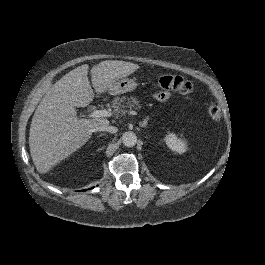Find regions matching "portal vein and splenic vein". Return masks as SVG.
Returning <instances> with one entry per match:
<instances>
[{
  "mask_svg": "<svg viewBox=\"0 0 265 265\" xmlns=\"http://www.w3.org/2000/svg\"><path fill=\"white\" fill-rule=\"evenodd\" d=\"M127 114H130L131 116L137 115V112L134 111H127ZM114 113L112 111H107V110H96L93 112L92 117H112Z\"/></svg>",
  "mask_w": 265,
  "mask_h": 265,
  "instance_id": "obj_1",
  "label": "portal vein and splenic vein"
}]
</instances>
